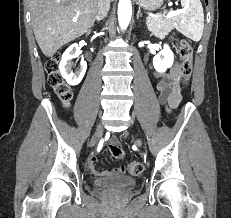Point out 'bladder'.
Here are the masks:
<instances>
[{"label":"bladder","mask_w":231,"mask_h":218,"mask_svg":"<svg viewBox=\"0 0 231 218\" xmlns=\"http://www.w3.org/2000/svg\"><path fill=\"white\" fill-rule=\"evenodd\" d=\"M94 187L97 189L131 190L136 187L137 180L129 176L114 178H99L94 180Z\"/></svg>","instance_id":"bladder-1"}]
</instances>
